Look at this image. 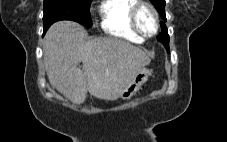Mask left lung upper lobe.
<instances>
[{
	"label": "left lung upper lobe",
	"mask_w": 227,
	"mask_h": 142,
	"mask_svg": "<svg viewBox=\"0 0 227 142\" xmlns=\"http://www.w3.org/2000/svg\"><path fill=\"white\" fill-rule=\"evenodd\" d=\"M150 1L156 7L159 14L162 16L163 20L166 21L165 10H164L165 0H150ZM161 27H162V33L157 37V39L161 43H163L166 49H169V35L167 32V28L163 22L161 23Z\"/></svg>",
	"instance_id": "1"
}]
</instances>
